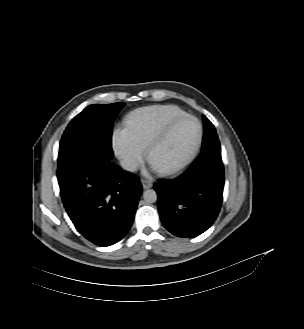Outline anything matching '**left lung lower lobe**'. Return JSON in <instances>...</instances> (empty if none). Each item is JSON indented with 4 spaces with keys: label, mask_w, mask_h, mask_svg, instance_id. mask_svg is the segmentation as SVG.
Here are the masks:
<instances>
[{
    "label": "left lung lower lobe",
    "mask_w": 304,
    "mask_h": 329,
    "mask_svg": "<svg viewBox=\"0 0 304 329\" xmlns=\"http://www.w3.org/2000/svg\"><path fill=\"white\" fill-rule=\"evenodd\" d=\"M218 137L202 148L192 166L177 178L154 185L162 224L172 234L191 238L215 221L222 203L224 168Z\"/></svg>",
    "instance_id": "obj_1"
}]
</instances>
